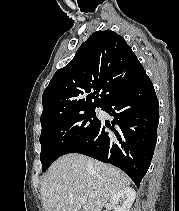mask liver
I'll use <instances>...</instances> for the list:
<instances>
[{
	"instance_id": "6515ba94",
	"label": "liver",
	"mask_w": 179,
	"mask_h": 211,
	"mask_svg": "<svg viewBox=\"0 0 179 211\" xmlns=\"http://www.w3.org/2000/svg\"><path fill=\"white\" fill-rule=\"evenodd\" d=\"M121 170L81 154H67L48 169L41 185L44 211H101L113 194L130 185ZM87 198L80 203V197Z\"/></svg>"
}]
</instances>
